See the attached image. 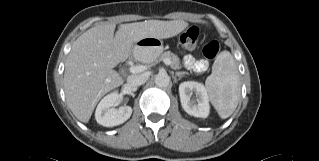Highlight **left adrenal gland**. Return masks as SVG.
<instances>
[{"instance_id":"left-adrenal-gland-1","label":"left adrenal gland","mask_w":319,"mask_h":161,"mask_svg":"<svg viewBox=\"0 0 319 161\" xmlns=\"http://www.w3.org/2000/svg\"><path fill=\"white\" fill-rule=\"evenodd\" d=\"M188 74L187 72H176L175 77L181 78L183 75Z\"/></svg>"}]
</instances>
